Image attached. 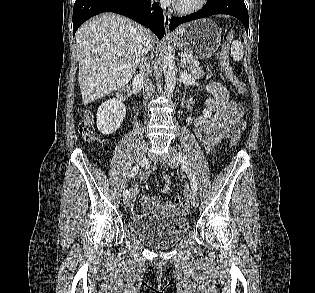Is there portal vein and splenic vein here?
<instances>
[{
    "label": "portal vein and splenic vein",
    "instance_id": "1",
    "mask_svg": "<svg viewBox=\"0 0 315 293\" xmlns=\"http://www.w3.org/2000/svg\"><path fill=\"white\" fill-rule=\"evenodd\" d=\"M187 62V59L186 58H182L181 59V63H186Z\"/></svg>",
    "mask_w": 315,
    "mask_h": 293
}]
</instances>
